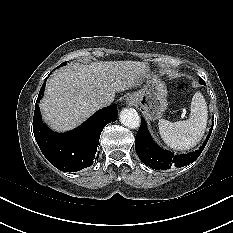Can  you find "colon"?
Listing matches in <instances>:
<instances>
[{
  "label": "colon",
  "mask_w": 233,
  "mask_h": 233,
  "mask_svg": "<svg viewBox=\"0 0 233 233\" xmlns=\"http://www.w3.org/2000/svg\"><path fill=\"white\" fill-rule=\"evenodd\" d=\"M179 88H180V89H183V88H184V84H181V85L179 86Z\"/></svg>",
  "instance_id": "1"
}]
</instances>
